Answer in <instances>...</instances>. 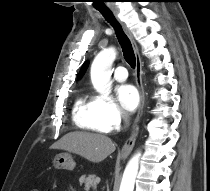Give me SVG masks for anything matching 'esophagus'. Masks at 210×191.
I'll use <instances>...</instances> for the list:
<instances>
[{
  "mask_svg": "<svg viewBox=\"0 0 210 191\" xmlns=\"http://www.w3.org/2000/svg\"><path fill=\"white\" fill-rule=\"evenodd\" d=\"M115 18L117 19V21L119 22V24L121 25L123 31L125 32V34L128 36V38L130 39L131 43H132V47L135 53V57H136V64H135V78H136V85L140 94V105H139V110L137 113V116L135 118L134 124L132 126V133L131 136L128 138V140L125 142L124 146L122 147L121 151H120V155L121 156H127L130 154V152L132 151L134 144H135V140H136V136L138 133V122L140 121V118L143 114V109H144V104H145V92H144V87H143V82H142V76H143V70H142V60L139 54V50H138V46L134 40V37L131 33V31L128 29V27L119 19L118 17V13L115 9H112Z\"/></svg>",
  "mask_w": 210,
  "mask_h": 191,
  "instance_id": "1",
  "label": "esophagus"
}]
</instances>
